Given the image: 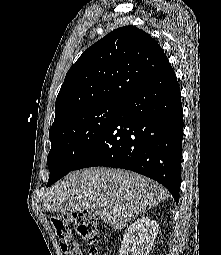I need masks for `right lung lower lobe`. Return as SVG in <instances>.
<instances>
[{
	"instance_id": "1",
	"label": "right lung lower lobe",
	"mask_w": 221,
	"mask_h": 255,
	"mask_svg": "<svg viewBox=\"0 0 221 255\" xmlns=\"http://www.w3.org/2000/svg\"><path fill=\"white\" fill-rule=\"evenodd\" d=\"M180 88L168 64L121 103L101 136L73 167H117L164 185L179 200L183 118Z\"/></svg>"
}]
</instances>
